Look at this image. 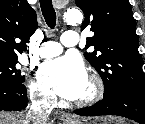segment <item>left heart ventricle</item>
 Listing matches in <instances>:
<instances>
[{
    "label": "left heart ventricle",
    "mask_w": 145,
    "mask_h": 124,
    "mask_svg": "<svg viewBox=\"0 0 145 124\" xmlns=\"http://www.w3.org/2000/svg\"><path fill=\"white\" fill-rule=\"evenodd\" d=\"M92 90H93V86L87 80L86 85H85L81 95L79 96V98L77 100H81V99H84V98L88 97L92 93Z\"/></svg>",
    "instance_id": "1"
}]
</instances>
